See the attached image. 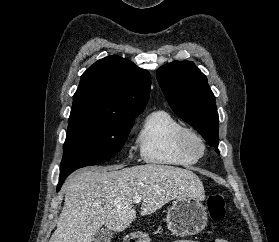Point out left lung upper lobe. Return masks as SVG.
Here are the masks:
<instances>
[{"label":"left lung upper lobe","mask_w":279,"mask_h":242,"mask_svg":"<svg viewBox=\"0 0 279 242\" xmlns=\"http://www.w3.org/2000/svg\"><path fill=\"white\" fill-rule=\"evenodd\" d=\"M172 110L218 151L219 118L206 76L191 61L163 65L156 73Z\"/></svg>","instance_id":"obj_1"}]
</instances>
